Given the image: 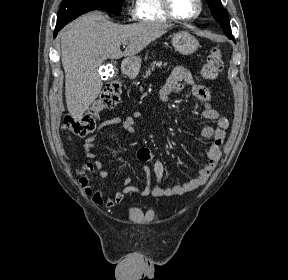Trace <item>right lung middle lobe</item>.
<instances>
[{
  "mask_svg": "<svg viewBox=\"0 0 288 280\" xmlns=\"http://www.w3.org/2000/svg\"><path fill=\"white\" fill-rule=\"evenodd\" d=\"M121 7L122 0H63L57 19L88 8H102L121 15Z\"/></svg>",
  "mask_w": 288,
  "mask_h": 280,
  "instance_id": "1",
  "label": "right lung middle lobe"
}]
</instances>
